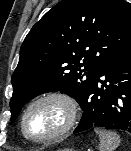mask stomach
<instances>
[{
	"mask_svg": "<svg viewBox=\"0 0 131 151\" xmlns=\"http://www.w3.org/2000/svg\"><path fill=\"white\" fill-rule=\"evenodd\" d=\"M59 151H74L73 149H63V150H59Z\"/></svg>",
	"mask_w": 131,
	"mask_h": 151,
	"instance_id": "obj_1",
	"label": "stomach"
}]
</instances>
